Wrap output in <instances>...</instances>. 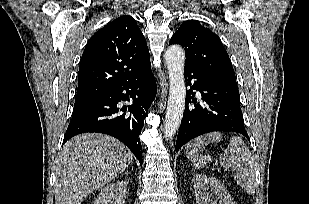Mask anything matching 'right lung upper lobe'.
Listing matches in <instances>:
<instances>
[{
  "label": "right lung upper lobe",
  "mask_w": 309,
  "mask_h": 204,
  "mask_svg": "<svg viewBox=\"0 0 309 204\" xmlns=\"http://www.w3.org/2000/svg\"><path fill=\"white\" fill-rule=\"evenodd\" d=\"M150 67L146 40L136 20L121 16L88 41L80 62L76 100L136 79Z\"/></svg>",
  "instance_id": "cb5924a9"
}]
</instances>
